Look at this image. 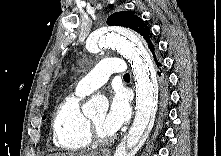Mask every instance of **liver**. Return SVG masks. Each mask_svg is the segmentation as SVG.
Instances as JSON below:
<instances>
[{
  "label": "liver",
  "mask_w": 221,
  "mask_h": 156,
  "mask_svg": "<svg viewBox=\"0 0 221 156\" xmlns=\"http://www.w3.org/2000/svg\"><path fill=\"white\" fill-rule=\"evenodd\" d=\"M49 156H98V152L55 153Z\"/></svg>",
  "instance_id": "obj_1"
}]
</instances>
